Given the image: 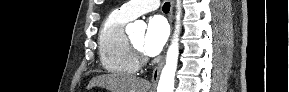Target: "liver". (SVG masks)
I'll return each mask as SVG.
<instances>
[{
  "instance_id": "6515ba94",
  "label": "liver",
  "mask_w": 289,
  "mask_h": 92,
  "mask_svg": "<svg viewBox=\"0 0 289 92\" xmlns=\"http://www.w3.org/2000/svg\"><path fill=\"white\" fill-rule=\"evenodd\" d=\"M95 86L111 92H148L150 83L135 76L112 73L92 78L88 89Z\"/></svg>"
}]
</instances>
